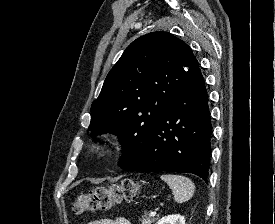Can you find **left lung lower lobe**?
Here are the masks:
<instances>
[{
    "mask_svg": "<svg viewBox=\"0 0 275 224\" xmlns=\"http://www.w3.org/2000/svg\"><path fill=\"white\" fill-rule=\"evenodd\" d=\"M212 125L205 83L198 69L149 132L125 171L193 173L207 183Z\"/></svg>",
    "mask_w": 275,
    "mask_h": 224,
    "instance_id": "left-lung-lower-lobe-1",
    "label": "left lung lower lobe"
}]
</instances>
